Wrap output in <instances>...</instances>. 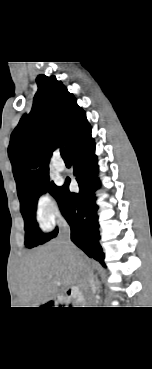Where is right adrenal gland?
<instances>
[{"label": "right adrenal gland", "mask_w": 152, "mask_h": 369, "mask_svg": "<svg viewBox=\"0 0 152 369\" xmlns=\"http://www.w3.org/2000/svg\"><path fill=\"white\" fill-rule=\"evenodd\" d=\"M96 284H100V282H99V280L97 279V277H96Z\"/></svg>", "instance_id": "right-adrenal-gland-1"}]
</instances>
